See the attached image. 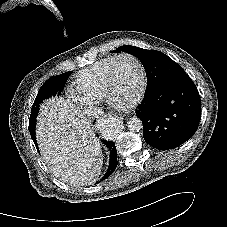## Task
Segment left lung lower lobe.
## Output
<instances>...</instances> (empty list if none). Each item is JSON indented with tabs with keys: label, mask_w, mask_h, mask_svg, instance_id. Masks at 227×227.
I'll list each match as a JSON object with an SVG mask.
<instances>
[{
	"label": "left lung lower lobe",
	"mask_w": 227,
	"mask_h": 227,
	"mask_svg": "<svg viewBox=\"0 0 227 227\" xmlns=\"http://www.w3.org/2000/svg\"><path fill=\"white\" fill-rule=\"evenodd\" d=\"M136 110L145 141L156 149L168 150L194 135L201 117V101L195 84L183 74L146 91Z\"/></svg>",
	"instance_id": "0a47b994"
}]
</instances>
